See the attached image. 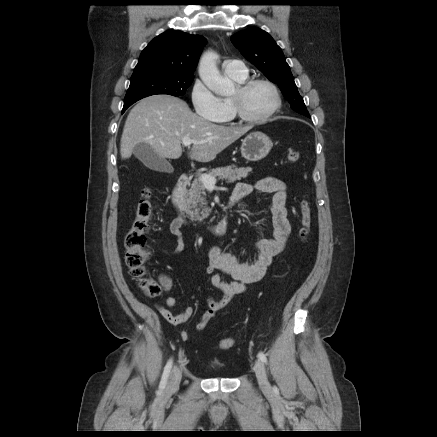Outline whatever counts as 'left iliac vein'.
<instances>
[{"instance_id":"left-iliac-vein-1","label":"left iliac vein","mask_w":437,"mask_h":437,"mask_svg":"<svg viewBox=\"0 0 437 437\" xmlns=\"http://www.w3.org/2000/svg\"><path fill=\"white\" fill-rule=\"evenodd\" d=\"M254 371H255L260 388L264 392H270L271 386H270L268 379H267L265 366L261 360L258 359L255 361Z\"/></svg>"}]
</instances>
